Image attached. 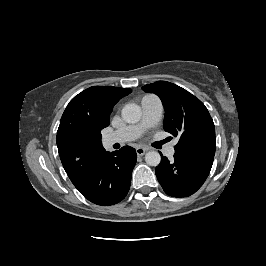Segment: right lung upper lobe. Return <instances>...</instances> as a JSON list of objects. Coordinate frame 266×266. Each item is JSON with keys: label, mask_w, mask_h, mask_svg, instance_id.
Listing matches in <instances>:
<instances>
[{"label": "right lung upper lobe", "mask_w": 266, "mask_h": 266, "mask_svg": "<svg viewBox=\"0 0 266 266\" xmlns=\"http://www.w3.org/2000/svg\"><path fill=\"white\" fill-rule=\"evenodd\" d=\"M129 93L127 88L93 86L67 105L56 142L63 167L78 190L87 184L106 153L100 132L109 125L113 106Z\"/></svg>", "instance_id": "right-lung-upper-lobe-1"}]
</instances>
